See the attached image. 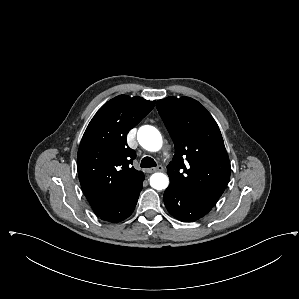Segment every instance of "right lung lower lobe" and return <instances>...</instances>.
<instances>
[{
    "mask_svg": "<svg viewBox=\"0 0 299 299\" xmlns=\"http://www.w3.org/2000/svg\"><path fill=\"white\" fill-rule=\"evenodd\" d=\"M144 181V175L139 182L131 189L120 201H118L113 207L98 215L102 220L116 223L129 217L138 201L139 194L142 190V183Z\"/></svg>",
    "mask_w": 299,
    "mask_h": 299,
    "instance_id": "right-lung-lower-lobe-1",
    "label": "right lung lower lobe"
}]
</instances>
